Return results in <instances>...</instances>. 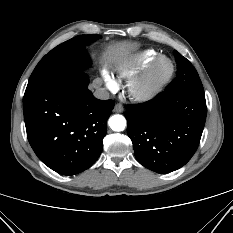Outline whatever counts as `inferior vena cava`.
I'll return each mask as SVG.
<instances>
[{
    "label": "inferior vena cava",
    "instance_id": "1",
    "mask_svg": "<svg viewBox=\"0 0 233 233\" xmlns=\"http://www.w3.org/2000/svg\"><path fill=\"white\" fill-rule=\"evenodd\" d=\"M94 96L101 100H107L109 99V92L106 91L105 89H97L94 92Z\"/></svg>",
    "mask_w": 233,
    "mask_h": 233
}]
</instances>
